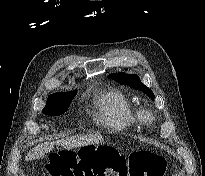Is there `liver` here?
<instances>
[{"instance_id":"liver-1","label":"liver","mask_w":205,"mask_h":176,"mask_svg":"<svg viewBox=\"0 0 205 176\" xmlns=\"http://www.w3.org/2000/svg\"><path fill=\"white\" fill-rule=\"evenodd\" d=\"M103 141V137L98 134L93 135H75L66 137L55 142H46L41 143L34 147L27 156L25 157L26 161L36 160L43 157L46 153H49L53 150L54 145H60L67 150L83 147L91 144H98Z\"/></svg>"}]
</instances>
